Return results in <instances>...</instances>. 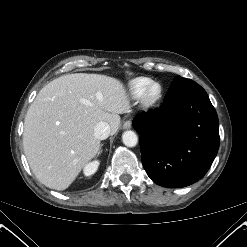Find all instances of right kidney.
Segmentation results:
<instances>
[{"label":"right kidney","mask_w":247,"mask_h":247,"mask_svg":"<svg viewBox=\"0 0 247 247\" xmlns=\"http://www.w3.org/2000/svg\"><path fill=\"white\" fill-rule=\"evenodd\" d=\"M99 164H100V163H99L98 160H95V161H93V162L88 163V164L84 167V170H83L84 175H85V176H91V175H93V174L97 171Z\"/></svg>","instance_id":"obj_1"}]
</instances>
